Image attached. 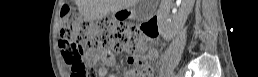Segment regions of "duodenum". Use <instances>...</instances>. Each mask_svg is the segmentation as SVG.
<instances>
[{
	"mask_svg": "<svg viewBox=\"0 0 258 77\" xmlns=\"http://www.w3.org/2000/svg\"><path fill=\"white\" fill-rule=\"evenodd\" d=\"M146 29L151 31L154 34V37H156L159 34V28L157 24V18L151 19L147 24H146Z\"/></svg>",
	"mask_w": 258,
	"mask_h": 77,
	"instance_id": "obj_1",
	"label": "duodenum"
}]
</instances>
